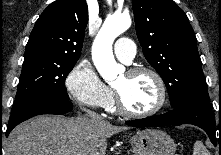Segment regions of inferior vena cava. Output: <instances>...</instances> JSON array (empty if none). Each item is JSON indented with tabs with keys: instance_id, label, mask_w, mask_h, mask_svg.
Masks as SVG:
<instances>
[{
	"instance_id": "inferior-vena-cava-1",
	"label": "inferior vena cava",
	"mask_w": 221,
	"mask_h": 155,
	"mask_svg": "<svg viewBox=\"0 0 221 155\" xmlns=\"http://www.w3.org/2000/svg\"><path fill=\"white\" fill-rule=\"evenodd\" d=\"M84 110L87 112L89 118L92 121H100V120H102V118L98 114H96L95 112H92V111L86 110V109H84Z\"/></svg>"
}]
</instances>
